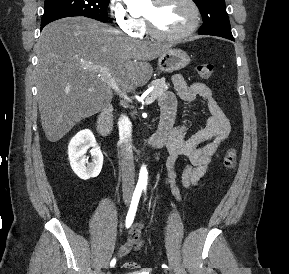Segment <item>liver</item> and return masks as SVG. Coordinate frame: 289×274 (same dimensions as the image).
<instances>
[{"label": "liver", "instance_id": "obj_1", "mask_svg": "<svg viewBox=\"0 0 289 274\" xmlns=\"http://www.w3.org/2000/svg\"><path fill=\"white\" fill-rule=\"evenodd\" d=\"M35 50L42 128L50 142H57L112 100V88L93 67H107L120 89L131 92L150 80L148 61L169 46L125 37L93 19L69 17L48 24Z\"/></svg>", "mask_w": 289, "mask_h": 274}]
</instances>
